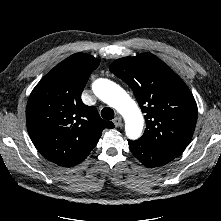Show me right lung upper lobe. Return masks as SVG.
<instances>
[{"instance_id": "cb5924a9", "label": "right lung upper lobe", "mask_w": 221, "mask_h": 221, "mask_svg": "<svg viewBox=\"0 0 221 221\" xmlns=\"http://www.w3.org/2000/svg\"><path fill=\"white\" fill-rule=\"evenodd\" d=\"M100 60L75 53L55 66L33 89L26 107L27 130L38 151L61 166L82 162L96 146L102 130L112 129L82 91Z\"/></svg>"}]
</instances>
